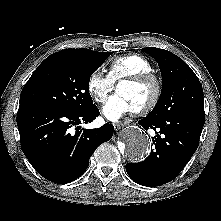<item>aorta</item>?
I'll return each instance as SVG.
<instances>
[{
    "label": "aorta",
    "mask_w": 221,
    "mask_h": 221,
    "mask_svg": "<svg viewBox=\"0 0 221 221\" xmlns=\"http://www.w3.org/2000/svg\"><path fill=\"white\" fill-rule=\"evenodd\" d=\"M124 147L121 149L123 155L133 162L144 160L150 150V139L140 128H129L123 137Z\"/></svg>",
    "instance_id": "obj_1"
}]
</instances>
